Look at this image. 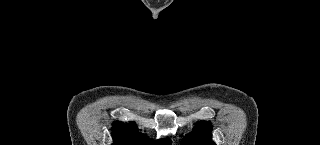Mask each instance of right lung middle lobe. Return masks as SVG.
Listing matches in <instances>:
<instances>
[{
  "mask_svg": "<svg viewBox=\"0 0 320 145\" xmlns=\"http://www.w3.org/2000/svg\"><path fill=\"white\" fill-rule=\"evenodd\" d=\"M170 143L169 142H167V143H164V144H162V145H169Z\"/></svg>",
  "mask_w": 320,
  "mask_h": 145,
  "instance_id": "obj_1",
  "label": "right lung middle lobe"
}]
</instances>
